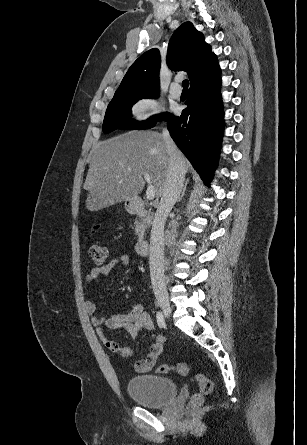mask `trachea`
Wrapping results in <instances>:
<instances>
[{
    "instance_id": "1",
    "label": "trachea",
    "mask_w": 307,
    "mask_h": 445,
    "mask_svg": "<svg viewBox=\"0 0 307 445\" xmlns=\"http://www.w3.org/2000/svg\"><path fill=\"white\" fill-rule=\"evenodd\" d=\"M188 86H189V81L188 80H183V82H182L183 89H187Z\"/></svg>"
}]
</instances>
